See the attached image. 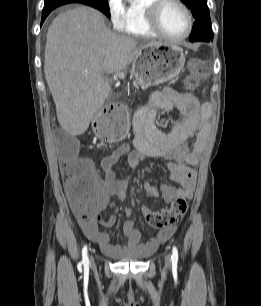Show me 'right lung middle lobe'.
<instances>
[{
    "mask_svg": "<svg viewBox=\"0 0 261 306\" xmlns=\"http://www.w3.org/2000/svg\"><path fill=\"white\" fill-rule=\"evenodd\" d=\"M68 3H82L94 7L101 12H103L108 18H110V10L108 5V0H45L43 11L53 10L61 5Z\"/></svg>",
    "mask_w": 261,
    "mask_h": 306,
    "instance_id": "dd1d6c3e",
    "label": "right lung middle lobe"
}]
</instances>
